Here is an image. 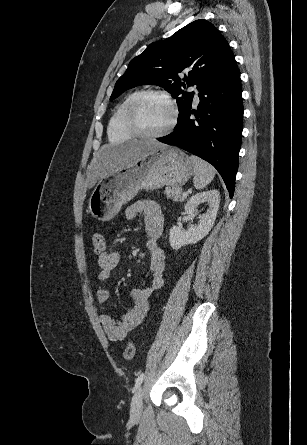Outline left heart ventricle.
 <instances>
[{
	"instance_id": "1",
	"label": "left heart ventricle",
	"mask_w": 307,
	"mask_h": 445,
	"mask_svg": "<svg viewBox=\"0 0 307 445\" xmlns=\"http://www.w3.org/2000/svg\"><path fill=\"white\" fill-rule=\"evenodd\" d=\"M172 117L170 106L157 97L148 98L139 109V120L143 128L151 133L163 130Z\"/></svg>"
}]
</instances>
